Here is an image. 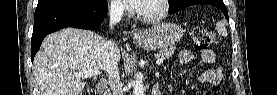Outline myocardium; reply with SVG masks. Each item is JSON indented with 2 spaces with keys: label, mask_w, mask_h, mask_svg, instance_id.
Masks as SVG:
<instances>
[{
  "label": "myocardium",
  "mask_w": 277,
  "mask_h": 95,
  "mask_svg": "<svg viewBox=\"0 0 277 95\" xmlns=\"http://www.w3.org/2000/svg\"><path fill=\"white\" fill-rule=\"evenodd\" d=\"M161 4V9L158 13L152 15L142 14L139 9H134L136 17L146 23H155L163 19L169 11V0H158Z\"/></svg>",
  "instance_id": "f54148a6"
}]
</instances>
